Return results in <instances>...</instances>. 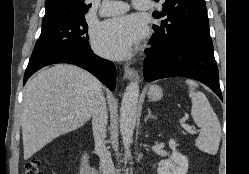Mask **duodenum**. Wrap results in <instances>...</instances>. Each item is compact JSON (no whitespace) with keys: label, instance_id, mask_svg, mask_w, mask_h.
Instances as JSON below:
<instances>
[{"label":"duodenum","instance_id":"410a0bca","mask_svg":"<svg viewBox=\"0 0 249 174\" xmlns=\"http://www.w3.org/2000/svg\"><path fill=\"white\" fill-rule=\"evenodd\" d=\"M80 173L81 174H99V169L91 164L90 155L85 150L80 158Z\"/></svg>","mask_w":249,"mask_h":174}]
</instances>
